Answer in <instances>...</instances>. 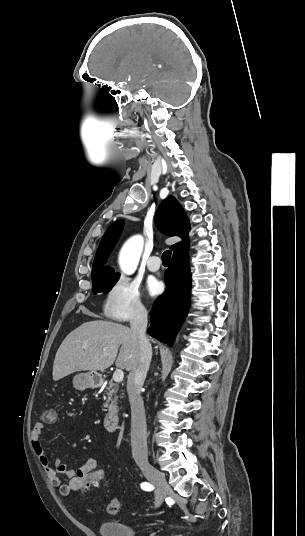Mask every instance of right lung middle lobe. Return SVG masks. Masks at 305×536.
Returning a JSON list of instances; mask_svg holds the SVG:
<instances>
[{"label":"right lung middle lobe","mask_w":305,"mask_h":536,"mask_svg":"<svg viewBox=\"0 0 305 536\" xmlns=\"http://www.w3.org/2000/svg\"><path fill=\"white\" fill-rule=\"evenodd\" d=\"M118 279H119V276L93 280L92 290L94 294L99 293V292H103L105 294L108 293L116 284Z\"/></svg>","instance_id":"1"}]
</instances>
